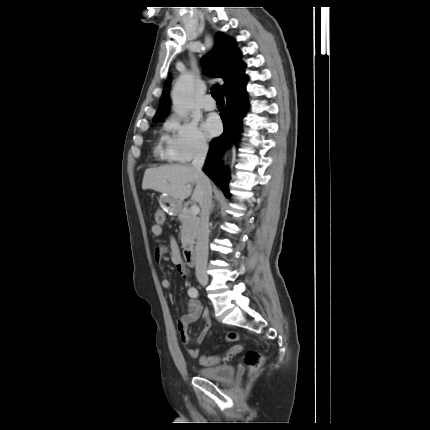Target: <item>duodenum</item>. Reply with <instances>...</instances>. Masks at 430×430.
Instances as JSON below:
<instances>
[{
	"label": "duodenum",
	"mask_w": 430,
	"mask_h": 430,
	"mask_svg": "<svg viewBox=\"0 0 430 430\" xmlns=\"http://www.w3.org/2000/svg\"><path fill=\"white\" fill-rule=\"evenodd\" d=\"M184 260L189 267H193L196 262L195 248L193 245H188L184 249Z\"/></svg>",
	"instance_id": "1"
}]
</instances>
